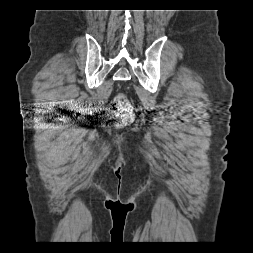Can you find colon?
<instances>
[{
	"mask_svg": "<svg viewBox=\"0 0 253 253\" xmlns=\"http://www.w3.org/2000/svg\"><path fill=\"white\" fill-rule=\"evenodd\" d=\"M114 113L119 126H125L133 119V107L123 93H118L113 99Z\"/></svg>",
	"mask_w": 253,
	"mask_h": 253,
	"instance_id": "5ec220e1",
	"label": "colon"
}]
</instances>
